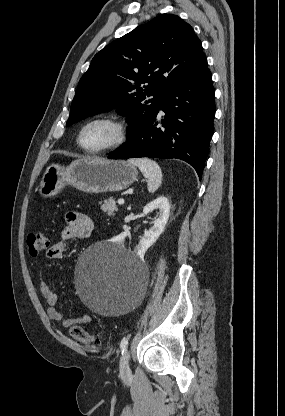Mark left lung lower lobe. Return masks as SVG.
Masks as SVG:
<instances>
[{
  "label": "left lung lower lobe",
  "instance_id": "obj_1",
  "mask_svg": "<svg viewBox=\"0 0 285 416\" xmlns=\"http://www.w3.org/2000/svg\"><path fill=\"white\" fill-rule=\"evenodd\" d=\"M215 92L205 55L164 97L152 118L109 159L177 158L189 163L201 179L213 133ZM166 113L157 128L156 116Z\"/></svg>",
  "mask_w": 285,
  "mask_h": 416
}]
</instances>
